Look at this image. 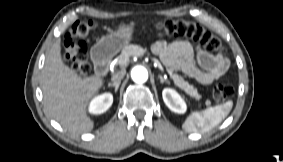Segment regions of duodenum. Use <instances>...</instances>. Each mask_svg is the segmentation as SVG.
<instances>
[{"label": "duodenum", "instance_id": "obj_1", "mask_svg": "<svg viewBox=\"0 0 283 162\" xmlns=\"http://www.w3.org/2000/svg\"><path fill=\"white\" fill-rule=\"evenodd\" d=\"M94 60L96 71L99 75H105L111 65V57L109 53L102 48L96 49L94 52Z\"/></svg>", "mask_w": 283, "mask_h": 162}]
</instances>
